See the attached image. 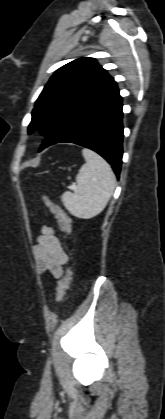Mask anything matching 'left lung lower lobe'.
I'll list each match as a JSON object with an SVG mask.
<instances>
[{"instance_id": "obj_1", "label": "left lung lower lobe", "mask_w": 165, "mask_h": 419, "mask_svg": "<svg viewBox=\"0 0 165 419\" xmlns=\"http://www.w3.org/2000/svg\"><path fill=\"white\" fill-rule=\"evenodd\" d=\"M122 115V98L114 81L72 110L46 136L39 151L56 143H75L104 157L119 177L123 154Z\"/></svg>"}]
</instances>
